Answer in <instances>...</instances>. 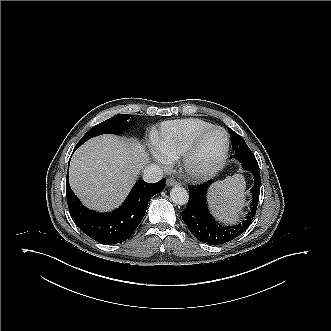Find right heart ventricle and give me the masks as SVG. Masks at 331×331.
Segmentation results:
<instances>
[{
	"label": "right heart ventricle",
	"instance_id": "1",
	"mask_svg": "<svg viewBox=\"0 0 331 331\" xmlns=\"http://www.w3.org/2000/svg\"><path fill=\"white\" fill-rule=\"evenodd\" d=\"M211 127L210 123L195 118L164 122L155 146L169 158H178L195 136Z\"/></svg>",
	"mask_w": 331,
	"mask_h": 331
}]
</instances>
